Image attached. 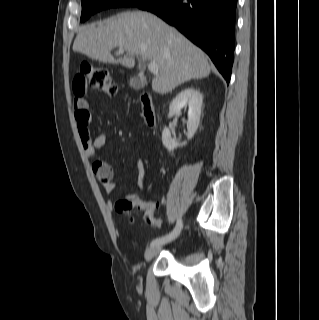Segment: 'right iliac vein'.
Returning <instances> with one entry per match:
<instances>
[{"label":"right iliac vein","mask_w":319,"mask_h":320,"mask_svg":"<svg viewBox=\"0 0 319 320\" xmlns=\"http://www.w3.org/2000/svg\"><path fill=\"white\" fill-rule=\"evenodd\" d=\"M161 250V246H152L147 248L145 251V259L146 261H150L152 258H154L159 251Z\"/></svg>","instance_id":"right-iliac-vein-1"}]
</instances>
